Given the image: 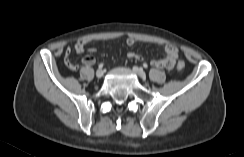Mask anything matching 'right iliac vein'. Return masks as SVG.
Masks as SVG:
<instances>
[{
    "label": "right iliac vein",
    "mask_w": 244,
    "mask_h": 157,
    "mask_svg": "<svg viewBox=\"0 0 244 157\" xmlns=\"http://www.w3.org/2000/svg\"><path fill=\"white\" fill-rule=\"evenodd\" d=\"M103 74H104V72H103L102 69H98V70L96 71V77H97V78H102Z\"/></svg>",
    "instance_id": "right-iliac-vein-1"
}]
</instances>
